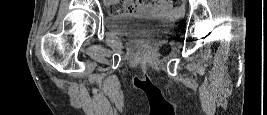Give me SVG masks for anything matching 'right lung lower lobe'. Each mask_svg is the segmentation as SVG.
<instances>
[{"label":"right lung lower lobe","mask_w":267,"mask_h":115,"mask_svg":"<svg viewBox=\"0 0 267 115\" xmlns=\"http://www.w3.org/2000/svg\"><path fill=\"white\" fill-rule=\"evenodd\" d=\"M140 88H142V89H146V87H140Z\"/></svg>","instance_id":"right-lung-lower-lobe-1"}]
</instances>
